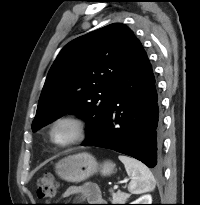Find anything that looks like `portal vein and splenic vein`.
<instances>
[{"label": "portal vein and splenic vein", "mask_w": 200, "mask_h": 205, "mask_svg": "<svg viewBox=\"0 0 200 205\" xmlns=\"http://www.w3.org/2000/svg\"><path fill=\"white\" fill-rule=\"evenodd\" d=\"M117 188H118V185H115V186H114V189H117Z\"/></svg>", "instance_id": "obj_1"}]
</instances>
